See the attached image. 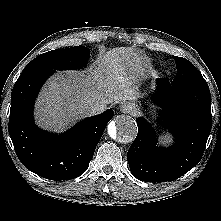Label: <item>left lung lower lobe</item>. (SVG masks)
<instances>
[{
  "label": "left lung lower lobe",
  "instance_id": "1",
  "mask_svg": "<svg viewBox=\"0 0 221 221\" xmlns=\"http://www.w3.org/2000/svg\"><path fill=\"white\" fill-rule=\"evenodd\" d=\"M154 100L163 107L160 119L176 141L168 149H158L154 129L138 117V134L127 159L135 178L167 182L184 175L202 158L211 131L210 90L206 82L172 85L167 78H158Z\"/></svg>",
  "mask_w": 221,
  "mask_h": 221
}]
</instances>
